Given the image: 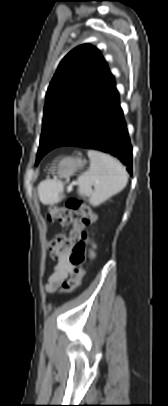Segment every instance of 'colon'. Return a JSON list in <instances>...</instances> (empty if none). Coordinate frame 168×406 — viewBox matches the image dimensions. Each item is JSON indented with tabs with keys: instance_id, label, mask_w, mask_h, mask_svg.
Listing matches in <instances>:
<instances>
[{
	"instance_id": "1",
	"label": "colon",
	"mask_w": 168,
	"mask_h": 406,
	"mask_svg": "<svg viewBox=\"0 0 168 406\" xmlns=\"http://www.w3.org/2000/svg\"><path fill=\"white\" fill-rule=\"evenodd\" d=\"M48 219L58 221L62 226H73L69 233L55 238L50 246L53 258H58L67 250L70 251L69 260L75 267V274L73 278L65 281L60 289L61 293L68 294L80 286L85 274L83 264L86 258L89 233L81 231V228L93 225L96 215L82 199L71 197L64 206L51 208Z\"/></svg>"
}]
</instances>
